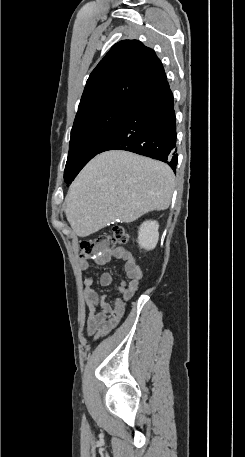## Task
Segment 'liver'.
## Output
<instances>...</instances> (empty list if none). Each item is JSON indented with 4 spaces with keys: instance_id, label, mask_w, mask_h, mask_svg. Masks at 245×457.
I'll return each instance as SVG.
<instances>
[{
    "instance_id": "liver-1",
    "label": "liver",
    "mask_w": 245,
    "mask_h": 457,
    "mask_svg": "<svg viewBox=\"0 0 245 457\" xmlns=\"http://www.w3.org/2000/svg\"><path fill=\"white\" fill-rule=\"evenodd\" d=\"M175 184L172 168L128 150L92 158L69 186L66 216L77 237H88L120 218L133 222L149 210L168 208Z\"/></svg>"
}]
</instances>
